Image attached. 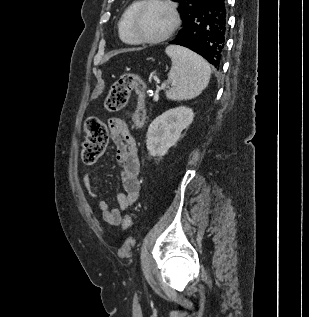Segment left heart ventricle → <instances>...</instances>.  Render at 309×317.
Wrapping results in <instances>:
<instances>
[{
    "label": "left heart ventricle",
    "mask_w": 309,
    "mask_h": 317,
    "mask_svg": "<svg viewBox=\"0 0 309 317\" xmlns=\"http://www.w3.org/2000/svg\"><path fill=\"white\" fill-rule=\"evenodd\" d=\"M173 17L168 7L162 4H151L141 13L137 28L147 38H155L165 34L172 25Z\"/></svg>",
    "instance_id": "obj_1"
}]
</instances>
